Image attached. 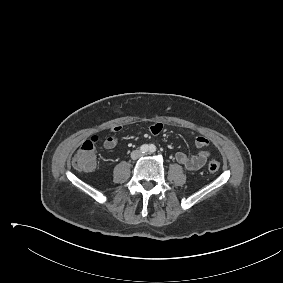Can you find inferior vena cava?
<instances>
[{
    "label": "inferior vena cava",
    "mask_w": 283,
    "mask_h": 283,
    "mask_svg": "<svg viewBox=\"0 0 283 283\" xmlns=\"http://www.w3.org/2000/svg\"><path fill=\"white\" fill-rule=\"evenodd\" d=\"M142 155V153L139 151V150H134L132 153H131V158L132 159H137L138 157H140Z\"/></svg>",
    "instance_id": "obj_1"
}]
</instances>
